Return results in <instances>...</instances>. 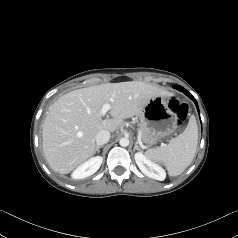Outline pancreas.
<instances>
[{"instance_id": "obj_1", "label": "pancreas", "mask_w": 238, "mask_h": 238, "mask_svg": "<svg viewBox=\"0 0 238 238\" xmlns=\"http://www.w3.org/2000/svg\"><path fill=\"white\" fill-rule=\"evenodd\" d=\"M139 136H140V138L144 141V139H145V135H144V133L141 132Z\"/></svg>"}]
</instances>
